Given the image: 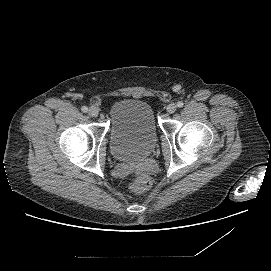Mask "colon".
<instances>
[{
	"instance_id": "obj_1",
	"label": "colon",
	"mask_w": 271,
	"mask_h": 271,
	"mask_svg": "<svg viewBox=\"0 0 271 271\" xmlns=\"http://www.w3.org/2000/svg\"><path fill=\"white\" fill-rule=\"evenodd\" d=\"M151 186V180L147 175L141 174L136 176L131 185L130 189L136 194H141L149 189Z\"/></svg>"
}]
</instances>
